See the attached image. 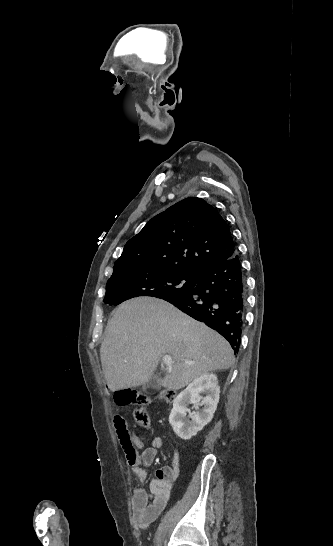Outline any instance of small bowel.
Listing matches in <instances>:
<instances>
[{
	"label": "small bowel",
	"instance_id": "c3829d8e",
	"mask_svg": "<svg viewBox=\"0 0 333 546\" xmlns=\"http://www.w3.org/2000/svg\"><path fill=\"white\" fill-rule=\"evenodd\" d=\"M131 440L136 448L143 450L133 460L127 459L138 481L131 503L132 519L139 529H145L166 507L171 496L170 484L179 474L180 460L175 451L171 465L157 472V477L150 483V490L147 492L143 488L146 477L145 467L154 461L162 441L160 438H155L152 445L145 448L143 441L137 435H133Z\"/></svg>",
	"mask_w": 333,
	"mask_h": 546
}]
</instances>
